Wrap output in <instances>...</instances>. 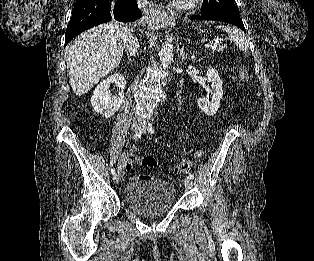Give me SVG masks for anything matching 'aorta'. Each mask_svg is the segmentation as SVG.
I'll use <instances>...</instances> for the list:
<instances>
[{"instance_id":"aorta-1","label":"aorta","mask_w":314,"mask_h":261,"mask_svg":"<svg viewBox=\"0 0 314 261\" xmlns=\"http://www.w3.org/2000/svg\"><path fill=\"white\" fill-rule=\"evenodd\" d=\"M159 55L163 69H168L173 61V45L171 43H165L162 46Z\"/></svg>"}]
</instances>
